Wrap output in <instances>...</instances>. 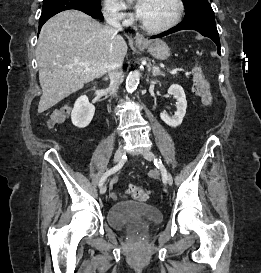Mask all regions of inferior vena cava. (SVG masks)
Segmentation results:
<instances>
[{"instance_id": "602c4592", "label": "inferior vena cava", "mask_w": 261, "mask_h": 273, "mask_svg": "<svg viewBox=\"0 0 261 273\" xmlns=\"http://www.w3.org/2000/svg\"><path fill=\"white\" fill-rule=\"evenodd\" d=\"M106 22L116 31H122L119 19L114 14L106 15ZM123 60L114 59L108 66V75L110 78L109 90L112 95H116L119 85L122 81Z\"/></svg>"}]
</instances>
